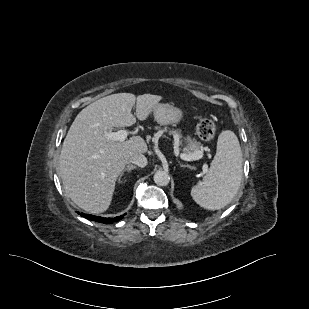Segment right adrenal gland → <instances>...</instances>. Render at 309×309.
I'll return each mask as SVG.
<instances>
[{
	"mask_svg": "<svg viewBox=\"0 0 309 309\" xmlns=\"http://www.w3.org/2000/svg\"><path fill=\"white\" fill-rule=\"evenodd\" d=\"M133 169H136V166H134V165H132V164H129V165H127L123 170H122V172H121V174H120V177H119V182H120V179H121V177L123 176V174H124V172H130L131 170H133Z\"/></svg>",
	"mask_w": 309,
	"mask_h": 309,
	"instance_id": "1",
	"label": "right adrenal gland"
}]
</instances>
